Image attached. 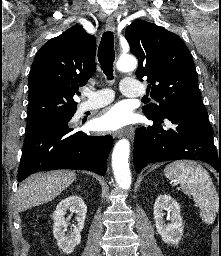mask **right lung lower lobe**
I'll use <instances>...</instances> for the list:
<instances>
[{
    "label": "right lung lower lobe",
    "instance_id": "right-lung-lower-lobe-1",
    "mask_svg": "<svg viewBox=\"0 0 221 256\" xmlns=\"http://www.w3.org/2000/svg\"><path fill=\"white\" fill-rule=\"evenodd\" d=\"M72 117L38 126L25 134L18 181L43 170L78 169L105 175L113 138L88 136L68 125Z\"/></svg>",
    "mask_w": 221,
    "mask_h": 256
}]
</instances>
